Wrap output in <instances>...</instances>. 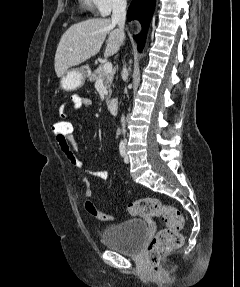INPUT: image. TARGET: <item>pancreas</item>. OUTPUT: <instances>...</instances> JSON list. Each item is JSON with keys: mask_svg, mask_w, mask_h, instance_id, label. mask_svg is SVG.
<instances>
[{"mask_svg": "<svg viewBox=\"0 0 240 287\" xmlns=\"http://www.w3.org/2000/svg\"><path fill=\"white\" fill-rule=\"evenodd\" d=\"M115 71L112 70L109 73H105L103 70V64H100L97 69L89 76V81L93 82L96 81L99 78H103L105 88L108 89L109 96L106 97V101L109 100L111 95V85L114 79Z\"/></svg>", "mask_w": 240, "mask_h": 287, "instance_id": "pancreas-1", "label": "pancreas"}]
</instances>
